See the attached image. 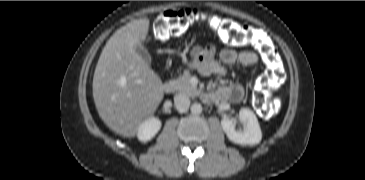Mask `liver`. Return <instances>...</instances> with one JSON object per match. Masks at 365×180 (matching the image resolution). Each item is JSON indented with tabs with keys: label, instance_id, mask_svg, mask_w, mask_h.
Masks as SVG:
<instances>
[{
	"label": "liver",
	"instance_id": "6515ba94",
	"mask_svg": "<svg viewBox=\"0 0 365 180\" xmlns=\"http://www.w3.org/2000/svg\"><path fill=\"white\" fill-rule=\"evenodd\" d=\"M148 18L132 20L107 41L93 77V98L103 122L132 138L163 99L160 77L137 54L149 31Z\"/></svg>",
	"mask_w": 365,
	"mask_h": 180
}]
</instances>
